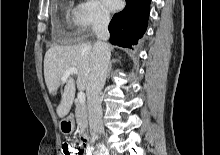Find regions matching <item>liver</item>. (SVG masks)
<instances>
[{"mask_svg": "<svg viewBox=\"0 0 220 155\" xmlns=\"http://www.w3.org/2000/svg\"><path fill=\"white\" fill-rule=\"evenodd\" d=\"M93 48L90 42L72 46H53L45 54L44 77L49 92L56 95L59 86L65 83L64 92L57 107V115L60 118L69 113L76 90L72 77L69 76L66 81H62V77L68 68H77V88L81 91L86 90L90 79Z\"/></svg>", "mask_w": 220, "mask_h": 155, "instance_id": "6515ba94", "label": "liver"}]
</instances>
